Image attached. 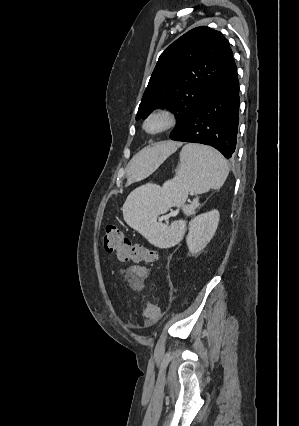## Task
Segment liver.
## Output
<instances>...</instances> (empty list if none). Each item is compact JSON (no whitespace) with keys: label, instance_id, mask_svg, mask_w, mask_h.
I'll use <instances>...</instances> for the list:
<instances>
[{"label":"liver","instance_id":"1","mask_svg":"<svg viewBox=\"0 0 299 426\" xmlns=\"http://www.w3.org/2000/svg\"><path fill=\"white\" fill-rule=\"evenodd\" d=\"M179 146H181V143L163 141L143 148L130 161L129 176L132 179H137L151 174Z\"/></svg>","mask_w":299,"mask_h":426}]
</instances>
